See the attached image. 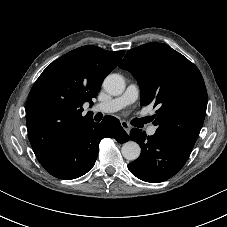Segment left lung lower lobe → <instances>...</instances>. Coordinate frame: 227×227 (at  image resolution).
I'll return each instance as SVG.
<instances>
[{"label": "left lung lower lobe", "instance_id": "0a47b994", "mask_svg": "<svg viewBox=\"0 0 227 227\" xmlns=\"http://www.w3.org/2000/svg\"><path fill=\"white\" fill-rule=\"evenodd\" d=\"M130 139L140 145L141 155L128 165V169L137 178L150 183L163 182L174 176L192 152V148L157 130L154 135L146 137L145 132L133 128Z\"/></svg>", "mask_w": 227, "mask_h": 227}]
</instances>
